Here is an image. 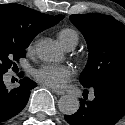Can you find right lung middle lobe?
Returning a JSON list of instances; mask_svg holds the SVG:
<instances>
[{"instance_id": "dd1d6c3e", "label": "right lung middle lobe", "mask_w": 125, "mask_h": 125, "mask_svg": "<svg viewBox=\"0 0 125 125\" xmlns=\"http://www.w3.org/2000/svg\"><path fill=\"white\" fill-rule=\"evenodd\" d=\"M29 43L14 42L8 38L0 37V74H4L15 62L25 57V49Z\"/></svg>"}]
</instances>
